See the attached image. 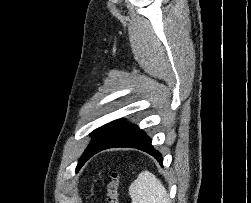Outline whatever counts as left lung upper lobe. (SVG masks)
<instances>
[{
  "label": "left lung upper lobe",
  "instance_id": "5c2ea615",
  "mask_svg": "<svg viewBox=\"0 0 251 203\" xmlns=\"http://www.w3.org/2000/svg\"><path fill=\"white\" fill-rule=\"evenodd\" d=\"M130 123H128L125 120H116L111 123H108L99 129L94 130L91 135L93 136V140L91 141L90 145L86 148L85 152L81 156L77 168H80L84 165V160L97 148H99L101 145L107 143L109 140H111L113 137H115L117 134L125 130ZM83 163V164H82Z\"/></svg>",
  "mask_w": 251,
  "mask_h": 203
}]
</instances>
